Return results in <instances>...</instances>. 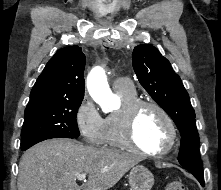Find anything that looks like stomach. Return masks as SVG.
Listing matches in <instances>:
<instances>
[{"label": "stomach", "instance_id": "obj_1", "mask_svg": "<svg viewBox=\"0 0 221 190\" xmlns=\"http://www.w3.org/2000/svg\"><path fill=\"white\" fill-rule=\"evenodd\" d=\"M128 178L132 190H151L154 185L153 174L143 165L133 167Z\"/></svg>", "mask_w": 221, "mask_h": 190}]
</instances>
